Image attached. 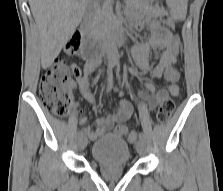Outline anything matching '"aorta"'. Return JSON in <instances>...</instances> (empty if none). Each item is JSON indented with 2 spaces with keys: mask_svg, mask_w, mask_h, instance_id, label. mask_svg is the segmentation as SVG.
Here are the masks:
<instances>
[{
  "mask_svg": "<svg viewBox=\"0 0 223 191\" xmlns=\"http://www.w3.org/2000/svg\"><path fill=\"white\" fill-rule=\"evenodd\" d=\"M104 45L106 47L107 58H108L109 64H115L116 63V56H115L113 42L110 39H105L104 40Z\"/></svg>",
  "mask_w": 223,
  "mask_h": 191,
  "instance_id": "obj_1",
  "label": "aorta"
}]
</instances>
